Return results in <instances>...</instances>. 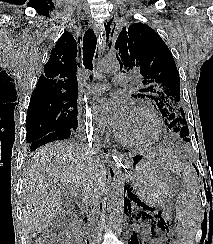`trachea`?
I'll list each match as a JSON object with an SVG mask.
<instances>
[{
    "label": "trachea",
    "mask_w": 213,
    "mask_h": 244,
    "mask_svg": "<svg viewBox=\"0 0 213 244\" xmlns=\"http://www.w3.org/2000/svg\"><path fill=\"white\" fill-rule=\"evenodd\" d=\"M97 38L92 29H88L83 38V65L86 69H93V57L96 49Z\"/></svg>",
    "instance_id": "trachea-1"
}]
</instances>
